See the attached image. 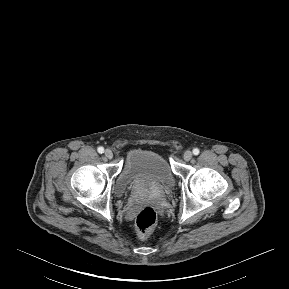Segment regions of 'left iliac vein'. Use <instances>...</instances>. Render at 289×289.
Returning a JSON list of instances; mask_svg holds the SVG:
<instances>
[{"label":"left iliac vein","instance_id":"4c4485c4","mask_svg":"<svg viewBox=\"0 0 289 289\" xmlns=\"http://www.w3.org/2000/svg\"><path fill=\"white\" fill-rule=\"evenodd\" d=\"M192 156H193L192 152L188 150L184 153L183 158L184 160L189 161L191 160Z\"/></svg>","mask_w":289,"mask_h":289}]
</instances>
